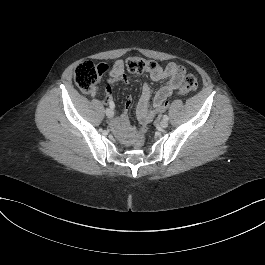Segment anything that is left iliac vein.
Segmentation results:
<instances>
[{
	"label": "left iliac vein",
	"mask_w": 265,
	"mask_h": 265,
	"mask_svg": "<svg viewBox=\"0 0 265 265\" xmlns=\"http://www.w3.org/2000/svg\"><path fill=\"white\" fill-rule=\"evenodd\" d=\"M160 126L162 127V128H166L167 126H168V122L166 121V120H161L160 121Z\"/></svg>",
	"instance_id": "obj_1"
}]
</instances>
